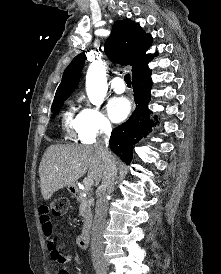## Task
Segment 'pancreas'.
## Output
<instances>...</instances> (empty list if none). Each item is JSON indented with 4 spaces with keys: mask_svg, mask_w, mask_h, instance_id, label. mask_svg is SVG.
I'll return each mask as SVG.
<instances>
[{
    "mask_svg": "<svg viewBox=\"0 0 221 274\" xmlns=\"http://www.w3.org/2000/svg\"><path fill=\"white\" fill-rule=\"evenodd\" d=\"M84 192L80 193L79 200L81 201L80 207H79V215L82 217H86L87 214L91 211V205L93 203V197L92 193L90 192V189H86V197H82Z\"/></svg>",
    "mask_w": 221,
    "mask_h": 274,
    "instance_id": "obj_1",
    "label": "pancreas"
}]
</instances>
